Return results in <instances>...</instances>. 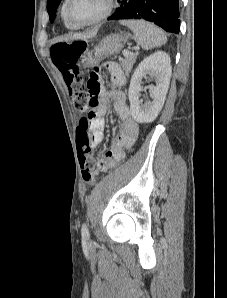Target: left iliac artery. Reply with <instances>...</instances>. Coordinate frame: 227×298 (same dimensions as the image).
Listing matches in <instances>:
<instances>
[{"label": "left iliac artery", "instance_id": "obj_1", "mask_svg": "<svg viewBox=\"0 0 227 298\" xmlns=\"http://www.w3.org/2000/svg\"><path fill=\"white\" fill-rule=\"evenodd\" d=\"M81 233H82L83 237H86V238L89 237V230H88V227H87L86 223H84L82 225Z\"/></svg>", "mask_w": 227, "mask_h": 298}]
</instances>
